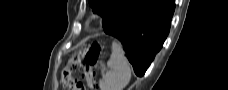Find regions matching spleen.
I'll list each match as a JSON object with an SVG mask.
<instances>
[{"mask_svg":"<svg viewBox=\"0 0 228 90\" xmlns=\"http://www.w3.org/2000/svg\"><path fill=\"white\" fill-rule=\"evenodd\" d=\"M109 71L100 79L101 90H123L131 79V69L121 45L112 43V54L107 62Z\"/></svg>","mask_w":228,"mask_h":90,"instance_id":"1","label":"spleen"}]
</instances>
